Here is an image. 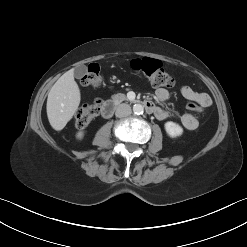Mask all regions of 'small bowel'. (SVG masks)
Returning a JSON list of instances; mask_svg holds the SVG:
<instances>
[{
    "label": "small bowel",
    "mask_w": 247,
    "mask_h": 247,
    "mask_svg": "<svg viewBox=\"0 0 247 247\" xmlns=\"http://www.w3.org/2000/svg\"><path fill=\"white\" fill-rule=\"evenodd\" d=\"M180 92L182 96L189 102L195 103L202 108L208 107L212 103L211 97L207 93L198 92L190 86H182ZM155 96L160 101H166L169 99L170 94L166 89L158 88L155 91ZM153 113L159 120H165L170 116V113L162 107H156ZM180 122L186 130L190 131L195 130L199 126L198 119L192 114L188 113L181 116Z\"/></svg>",
    "instance_id": "small-bowel-1"
}]
</instances>
